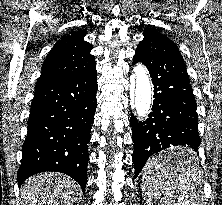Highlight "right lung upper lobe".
I'll return each mask as SVG.
<instances>
[{
    "label": "right lung upper lobe",
    "instance_id": "right-lung-upper-lobe-1",
    "mask_svg": "<svg viewBox=\"0 0 222 205\" xmlns=\"http://www.w3.org/2000/svg\"><path fill=\"white\" fill-rule=\"evenodd\" d=\"M86 30L62 37L47 55L39 81L68 77L93 68L94 56L90 55L92 44L83 40Z\"/></svg>",
    "mask_w": 222,
    "mask_h": 205
}]
</instances>
